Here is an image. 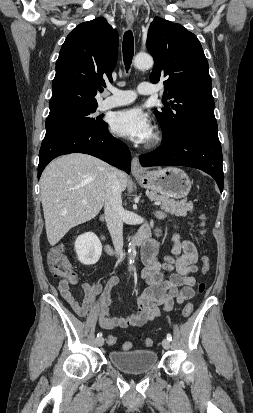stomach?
Wrapping results in <instances>:
<instances>
[{"mask_svg":"<svg viewBox=\"0 0 253 413\" xmlns=\"http://www.w3.org/2000/svg\"><path fill=\"white\" fill-rule=\"evenodd\" d=\"M136 179L143 188L174 199L186 197L191 189L188 175L177 167L147 171Z\"/></svg>","mask_w":253,"mask_h":413,"instance_id":"1","label":"stomach"}]
</instances>
